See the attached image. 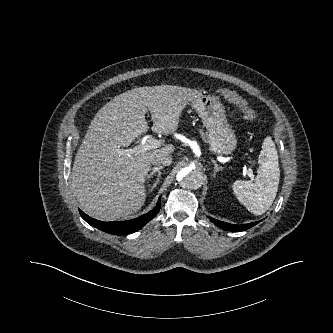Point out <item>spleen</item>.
Wrapping results in <instances>:
<instances>
[{
	"label": "spleen",
	"instance_id": "obj_1",
	"mask_svg": "<svg viewBox=\"0 0 333 333\" xmlns=\"http://www.w3.org/2000/svg\"><path fill=\"white\" fill-rule=\"evenodd\" d=\"M258 175L255 180L233 183L232 188L238 200L254 215L265 213L272 205L280 180L278 153L271 137L262 145L258 159Z\"/></svg>",
	"mask_w": 333,
	"mask_h": 333
}]
</instances>
